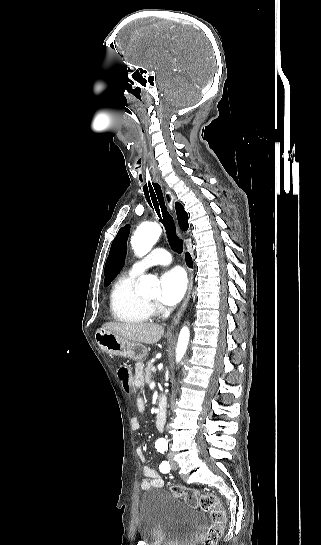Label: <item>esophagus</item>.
Here are the masks:
<instances>
[{"instance_id":"esophagus-1","label":"esophagus","mask_w":321,"mask_h":545,"mask_svg":"<svg viewBox=\"0 0 321 545\" xmlns=\"http://www.w3.org/2000/svg\"><path fill=\"white\" fill-rule=\"evenodd\" d=\"M165 200H166V203H167V206L169 208V210L174 213V205H175V196L174 194L171 192L170 189L166 188L165 190ZM192 286H193V272L190 270L189 273H188V289H187V293H186V296H185V299L180 307V309L178 310L177 314L174 316L173 320L171 321V324H170V327H174L175 325H177L181 319V316L182 314L184 313V310L189 302V299H190V296H191V290H192Z\"/></svg>"}]
</instances>
